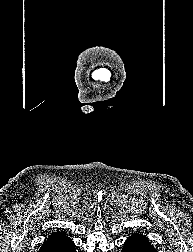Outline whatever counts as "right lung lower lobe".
<instances>
[{
	"instance_id": "obj_1",
	"label": "right lung lower lobe",
	"mask_w": 193,
	"mask_h": 252,
	"mask_svg": "<svg viewBox=\"0 0 193 252\" xmlns=\"http://www.w3.org/2000/svg\"><path fill=\"white\" fill-rule=\"evenodd\" d=\"M39 252H76V250L70 238L57 232L47 238Z\"/></svg>"
}]
</instances>
